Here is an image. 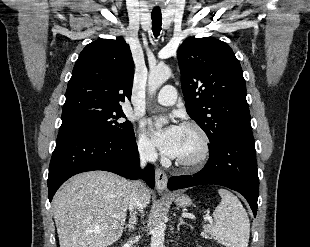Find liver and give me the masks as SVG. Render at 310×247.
Wrapping results in <instances>:
<instances>
[{
  "mask_svg": "<svg viewBox=\"0 0 310 247\" xmlns=\"http://www.w3.org/2000/svg\"><path fill=\"white\" fill-rule=\"evenodd\" d=\"M131 182L104 171L78 174L53 198V214L60 247H108L122 235ZM142 207L150 202L149 189L138 190Z\"/></svg>",
  "mask_w": 310,
  "mask_h": 247,
  "instance_id": "1",
  "label": "liver"
}]
</instances>
